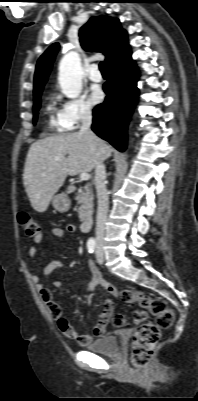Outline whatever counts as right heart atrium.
Instances as JSON below:
<instances>
[{"instance_id": "right-heart-atrium-1", "label": "right heart atrium", "mask_w": 198, "mask_h": 401, "mask_svg": "<svg viewBox=\"0 0 198 401\" xmlns=\"http://www.w3.org/2000/svg\"><path fill=\"white\" fill-rule=\"evenodd\" d=\"M55 97L60 102L58 119L66 130H75L93 118V107L84 98L64 99L59 94Z\"/></svg>"}]
</instances>
